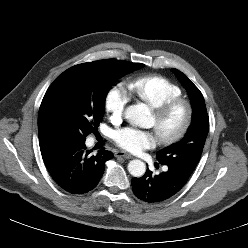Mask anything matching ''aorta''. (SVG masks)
I'll list each match as a JSON object with an SVG mask.
<instances>
[{"label":"aorta","instance_id":"1","mask_svg":"<svg viewBox=\"0 0 248 248\" xmlns=\"http://www.w3.org/2000/svg\"><path fill=\"white\" fill-rule=\"evenodd\" d=\"M125 118L131 124L146 127L150 121V110L143 103L131 105L125 111ZM128 171L134 177H142L145 174L146 165L143 161L135 159L129 162Z\"/></svg>","mask_w":248,"mask_h":248}]
</instances>
